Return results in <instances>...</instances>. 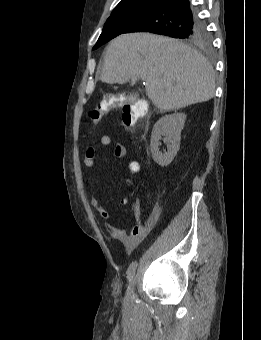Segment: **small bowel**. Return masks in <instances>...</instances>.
<instances>
[{
	"mask_svg": "<svg viewBox=\"0 0 261 340\" xmlns=\"http://www.w3.org/2000/svg\"><path fill=\"white\" fill-rule=\"evenodd\" d=\"M99 143L103 147L109 146L111 144V137L108 135H103L100 137ZM126 153L127 150L124 145L122 144L115 145L113 149V155L115 158L118 159L124 158L126 156ZM95 158L96 148L95 147L88 148L83 158L84 166L88 168L93 167L95 164ZM91 203L98 211L100 216L103 218L104 227L107 230V232L114 240L120 242L126 248L127 251H132L143 240V238L153 229L157 221V214L153 211L149 215L145 223L142 224L139 219L140 217L139 208L138 205L136 204L134 206L136 223L130 231H127L126 229L117 228L109 222L110 214L97 194H93L91 196Z\"/></svg>",
	"mask_w": 261,
	"mask_h": 340,
	"instance_id": "small-bowel-1",
	"label": "small bowel"
}]
</instances>
